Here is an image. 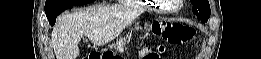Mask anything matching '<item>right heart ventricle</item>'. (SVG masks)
I'll use <instances>...</instances> for the list:
<instances>
[{"mask_svg":"<svg viewBox=\"0 0 261 59\" xmlns=\"http://www.w3.org/2000/svg\"><path fill=\"white\" fill-rule=\"evenodd\" d=\"M145 8H148V9H150V10L156 9V7H147V6H145Z\"/></svg>","mask_w":261,"mask_h":59,"instance_id":"e07e8e85","label":"right heart ventricle"}]
</instances>
